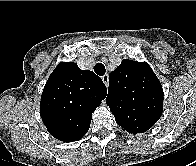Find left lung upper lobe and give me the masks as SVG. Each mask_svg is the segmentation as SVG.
<instances>
[{"label": "left lung upper lobe", "mask_w": 196, "mask_h": 166, "mask_svg": "<svg viewBox=\"0 0 196 166\" xmlns=\"http://www.w3.org/2000/svg\"><path fill=\"white\" fill-rule=\"evenodd\" d=\"M106 103L120 127L142 133L162 115L163 89L147 63L123 59L110 74Z\"/></svg>", "instance_id": "left-lung-upper-lobe-1"}]
</instances>
